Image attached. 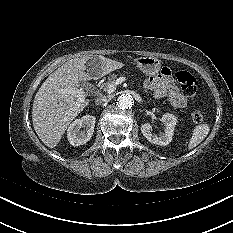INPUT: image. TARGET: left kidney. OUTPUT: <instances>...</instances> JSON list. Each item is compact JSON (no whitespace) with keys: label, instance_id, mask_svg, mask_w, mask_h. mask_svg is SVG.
I'll use <instances>...</instances> for the list:
<instances>
[{"label":"left kidney","instance_id":"1","mask_svg":"<svg viewBox=\"0 0 233 233\" xmlns=\"http://www.w3.org/2000/svg\"><path fill=\"white\" fill-rule=\"evenodd\" d=\"M161 121L165 126V132L161 133L159 136L152 134V125L150 123L142 124L141 132L149 142L160 146H166L171 142L174 135L177 118L172 114L166 113L162 116Z\"/></svg>","mask_w":233,"mask_h":233}]
</instances>
